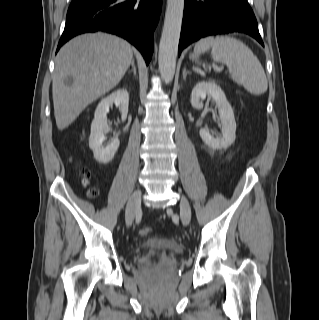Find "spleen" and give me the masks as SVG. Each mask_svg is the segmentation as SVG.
<instances>
[{
    "label": "spleen",
    "instance_id": "1",
    "mask_svg": "<svg viewBox=\"0 0 319 320\" xmlns=\"http://www.w3.org/2000/svg\"><path fill=\"white\" fill-rule=\"evenodd\" d=\"M211 49L215 62L226 64L232 80L242 85L253 95L267 91L268 82L259 59L243 42L233 37L208 36L200 39L194 48L195 54Z\"/></svg>",
    "mask_w": 319,
    "mask_h": 320
}]
</instances>
